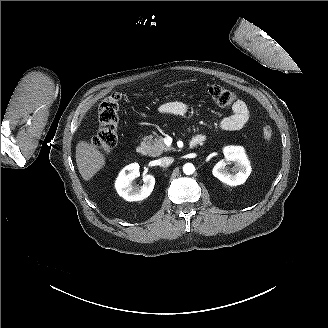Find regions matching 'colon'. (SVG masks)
<instances>
[{"label":"colon","instance_id":"colon-1","mask_svg":"<svg viewBox=\"0 0 328 328\" xmlns=\"http://www.w3.org/2000/svg\"><path fill=\"white\" fill-rule=\"evenodd\" d=\"M206 92L220 106H228L235 100V95L232 91L219 85L213 84L207 86ZM120 101L121 95L119 93H113L99 105V128L92 140V146L101 152H109L117 145ZM262 134L264 140L269 142L273 135L272 128L270 126H264Z\"/></svg>","mask_w":328,"mask_h":328}]
</instances>
